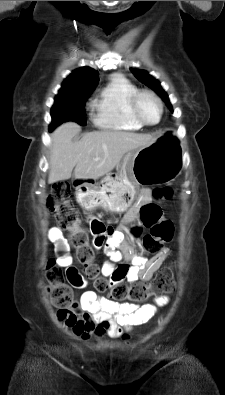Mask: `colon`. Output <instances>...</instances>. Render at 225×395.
I'll use <instances>...</instances> for the list:
<instances>
[{"label":"colon","instance_id":"obj_1","mask_svg":"<svg viewBox=\"0 0 225 395\" xmlns=\"http://www.w3.org/2000/svg\"><path fill=\"white\" fill-rule=\"evenodd\" d=\"M157 199H169L172 191L160 188L154 191ZM47 210L56 218L59 227L67 233L71 242L73 257L83 267L82 279L91 280L99 292H108L116 303L131 302L140 304L152 296L170 293L175 289L174 273L171 268L161 269L148 283H126L118 281L111 283L100 275V269L95 262V252L87 230L82 226L77 210L71 201L68 184L55 183L46 200ZM140 220L149 229L142 239V249L145 252H157L160 247L172 240L174 228L171 221L162 218L161 210L156 204H146L140 209ZM133 235H142V228H133ZM47 294L51 303L64 311L73 304L71 281H67L66 270L56 266V260L50 259L46 271Z\"/></svg>","mask_w":225,"mask_h":395}]
</instances>
